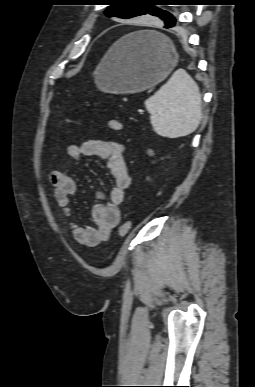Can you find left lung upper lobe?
<instances>
[{"label":"left lung upper lobe","instance_id":"obj_1","mask_svg":"<svg viewBox=\"0 0 255 387\" xmlns=\"http://www.w3.org/2000/svg\"><path fill=\"white\" fill-rule=\"evenodd\" d=\"M113 3L105 11L108 17H119L129 19L149 13L160 17L165 21V24L174 19L167 11L155 8L153 5L144 4L146 0H111Z\"/></svg>","mask_w":255,"mask_h":387}]
</instances>
